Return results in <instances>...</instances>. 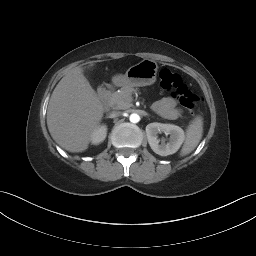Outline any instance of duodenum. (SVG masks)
<instances>
[{
	"label": "duodenum",
	"instance_id": "1",
	"mask_svg": "<svg viewBox=\"0 0 256 256\" xmlns=\"http://www.w3.org/2000/svg\"><path fill=\"white\" fill-rule=\"evenodd\" d=\"M110 89L108 87H102L98 91L99 99L102 105H106L109 101Z\"/></svg>",
	"mask_w": 256,
	"mask_h": 256
}]
</instances>
